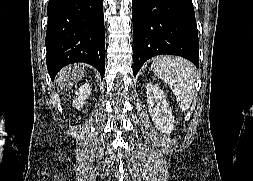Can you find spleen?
Segmentation results:
<instances>
[{"mask_svg": "<svg viewBox=\"0 0 253 181\" xmlns=\"http://www.w3.org/2000/svg\"><path fill=\"white\" fill-rule=\"evenodd\" d=\"M156 76L168 83L181 110H186L193 98L196 69L180 57H156L151 65Z\"/></svg>", "mask_w": 253, "mask_h": 181, "instance_id": "1", "label": "spleen"}]
</instances>
